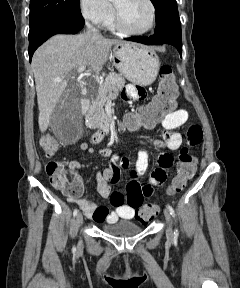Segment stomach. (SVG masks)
I'll return each mask as SVG.
<instances>
[{
  "label": "stomach",
  "instance_id": "0dacf381",
  "mask_svg": "<svg viewBox=\"0 0 240 288\" xmlns=\"http://www.w3.org/2000/svg\"><path fill=\"white\" fill-rule=\"evenodd\" d=\"M111 60L121 75L135 85H150L158 75L159 58L144 45L130 42L117 44Z\"/></svg>",
  "mask_w": 240,
  "mask_h": 288
}]
</instances>
